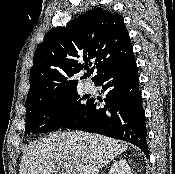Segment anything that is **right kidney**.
I'll return each instance as SVG.
<instances>
[{"label": "right kidney", "instance_id": "right-kidney-1", "mask_svg": "<svg viewBox=\"0 0 175 174\" xmlns=\"http://www.w3.org/2000/svg\"><path fill=\"white\" fill-rule=\"evenodd\" d=\"M108 174H132L131 168L126 160L116 161L109 170Z\"/></svg>", "mask_w": 175, "mask_h": 174}]
</instances>
